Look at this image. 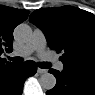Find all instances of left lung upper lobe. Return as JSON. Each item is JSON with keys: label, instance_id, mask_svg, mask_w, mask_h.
Masks as SVG:
<instances>
[{"label": "left lung upper lobe", "instance_id": "5c2ea615", "mask_svg": "<svg viewBox=\"0 0 95 95\" xmlns=\"http://www.w3.org/2000/svg\"><path fill=\"white\" fill-rule=\"evenodd\" d=\"M29 21L45 33L49 47L64 54L65 68L95 74V16L72 6L34 11Z\"/></svg>", "mask_w": 95, "mask_h": 95}]
</instances>
